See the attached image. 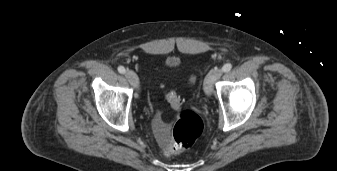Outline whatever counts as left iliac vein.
<instances>
[{
	"mask_svg": "<svg viewBox=\"0 0 337 171\" xmlns=\"http://www.w3.org/2000/svg\"><path fill=\"white\" fill-rule=\"evenodd\" d=\"M222 70L215 69L208 73L204 80V91L207 95H211L214 83L221 77Z\"/></svg>",
	"mask_w": 337,
	"mask_h": 171,
	"instance_id": "4c4485c4",
	"label": "left iliac vein"
}]
</instances>
